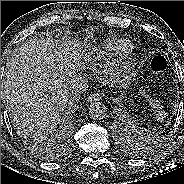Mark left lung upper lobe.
Wrapping results in <instances>:
<instances>
[{"instance_id": "1", "label": "left lung upper lobe", "mask_w": 184, "mask_h": 184, "mask_svg": "<svg viewBox=\"0 0 184 184\" xmlns=\"http://www.w3.org/2000/svg\"><path fill=\"white\" fill-rule=\"evenodd\" d=\"M145 140L147 141V143H153V142H155V139H153V138H151V137H149V136H147V137L145 138Z\"/></svg>"}]
</instances>
